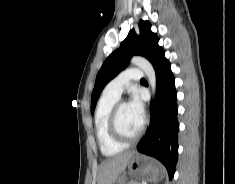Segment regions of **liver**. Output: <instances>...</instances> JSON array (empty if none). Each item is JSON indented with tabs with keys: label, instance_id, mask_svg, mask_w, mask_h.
<instances>
[{
	"label": "liver",
	"instance_id": "1",
	"mask_svg": "<svg viewBox=\"0 0 235 184\" xmlns=\"http://www.w3.org/2000/svg\"><path fill=\"white\" fill-rule=\"evenodd\" d=\"M132 154L134 152H124L102 162L98 172V184H113L114 180L124 172Z\"/></svg>",
	"mask_w": 235,
	"mask_h": 184
}]
</instances>
